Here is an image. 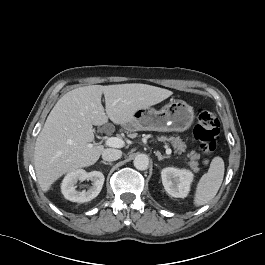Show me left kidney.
<instances>
[{
  "mask_svg": "<svg viewBox=\"0 0 265 265\" xmlns=\"http://www.w3.org/2000/svg\"><path fill=\"white\" fill-rule=\"evenodd\" d=\"M161 178L166 192L175 198H184L190 191L193 174L186 169L167 167L162 169Z\"/></svg>",
  "mask_w": 265,
  "mask_h": 265,
  "instance_id": "obj_1",
  "label": "left kidney"
}]
</instances>
